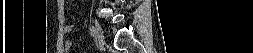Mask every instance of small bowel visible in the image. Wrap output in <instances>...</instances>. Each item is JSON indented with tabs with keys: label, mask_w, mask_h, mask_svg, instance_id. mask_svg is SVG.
Here are the masks:
<instances>
[{
	"label": "small bowel",
	"mask_w": 253,
	"mask_h": 53,
	"mask_svg": "<svg viewBox=\"0 0 253 53\" xmlns=\"http://www.w3.org/2000/svg\"><path fill=\"white\" fill-rule=\"evenodd\" d=\"M71 30H72V26L71 25L64 26V32L65 33H69V32H71ZM65 46H66V48H70L71 47V42L67 41L65 43Z\"/></svg>",
	"instance_id": "obj_1"
}]
</instances>
